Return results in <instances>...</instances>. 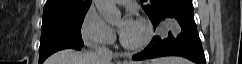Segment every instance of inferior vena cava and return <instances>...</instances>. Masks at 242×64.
<instances>
[{
    "label": "inferior vena cava",
    "instance_id": "1",
    "mask_svg": "<svg viewBox=\"0 0 242 64\" xmlns=\"http://www.w3.org/2000/svg\"><path fill=\"white\" fill-rule=\"evenodd\" d=\"M96 57L100 64H110L112 59V51L105 46L98 47L96 48Z\"/></svg>",
    "mask_w": 242,
    "mask_h": 64
}]
</instances>
